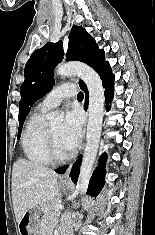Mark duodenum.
Wrapping results in <instances>:
<instances>
[{
  "label": "duodenum",
  "mask_w": 155,
  "mask_h": 235,
  "mask_svg": "<svg viewBox=\"0 0 155 235\" xmlns=\"http://www.w3.org/2000/svg\"><path fill=\"white\" fill-rule=\"evenodd\" d=\"M63 235H69V234L65 232Z\"/></svg>",
  "instance_id": "duodenum-1"
}]
</instances>
